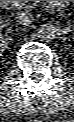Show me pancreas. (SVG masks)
<instances>
[{"mask_svg": "<svg viewBox=\"0 0 74 122\" xmlns=\"http://www.w3.org/2000/svg\"><path fill=\"white\" fill-rule=\"evenodd\" d=\"M12 2H13V6L16 9H21L23 7H25V8H33V6L30 3V1H12ZM34 2H39V1H34Z\"/></svg>", "mask_w": 74, "mask_h": 122, "instance_id": "obj_1", "label": "pancreas"}]
</instances>
